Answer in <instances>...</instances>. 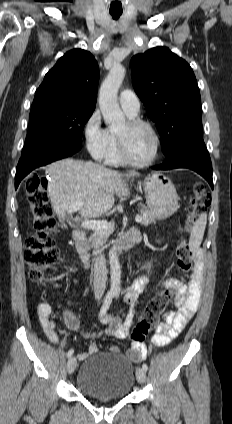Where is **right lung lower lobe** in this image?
Segmentation results:
<instances>
[{"mask_svg": "<svg viewBox=\"0 0 232 424\" xmlns=\"http://www.w3.org/2000/svg\"><path fill=\"white\" fill-rule=\"evenodd\" d=\"M82 148L81 144L40 142L26 151H22L15 175V188L21 180L35 168L56 160L72 156Z\"/></svg>", "mask_w": 232, "mask_h": 424, "instance_id": "right-lung-lower-lobe-1", "label": "right lung lower lobe"}]
</instances>
